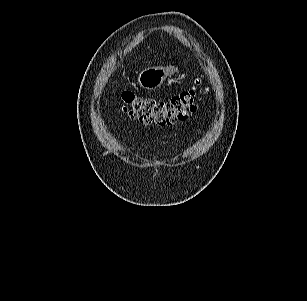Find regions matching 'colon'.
<instances>
[{
	"label": "colon",
	"instance_id": "obj_1",
	"mask_svg": "<svg viewBox=\"0 0 307 301\" xmlns=\"http://www.w3.org/2000/svg\"><path fill=\"white\" fill-rule=\"evenodd\" d=\"M201 87L199 81L167 100L138 97L131 92L121 93L120 100L123 111L131 118L144 124L165 126L185 120L195 112Z\"/></svg>",
	"mask_w": 307,
	"mask_h": 301
}]
</instances>
